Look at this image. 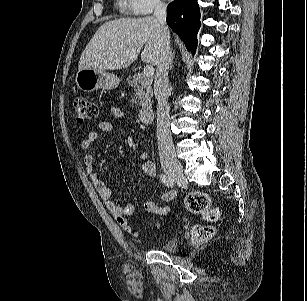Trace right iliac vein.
Returning <instances> with one entry per match:
<instances>
[{
  "label": "right iliac vein",
  "instance_id": "1",
  "mask_svg": "<svg viewBox=\"0 0 307 301\" xmlns=\"http://www.w3.org/2000/svg\"><path fill=\"white\" fill-rule=\"evenodd\" d=\"M162 167L171 177L186 181L183 174V167L178 159L173 156H164L162 158Z\"/></svg>",
  "mask_w": 307,
  "mask_h": 301
}]
</instances>
